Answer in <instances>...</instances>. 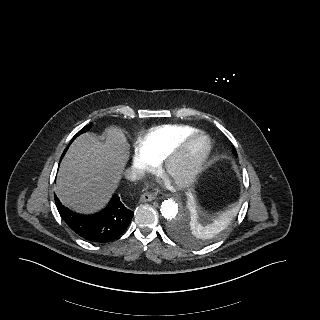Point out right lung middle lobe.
I'll return each mask as SVG.
<instances>
[{
	"mask_svg": "<svg viewBox=\"0 0 320 320\" xmlns=\"http://www.w3.org/2000/svg\"><path fill=\"white\" fill-rule=\"evenodd\" d=\"M90 127H91V124H89V125L85 126L84 128H82V129L73 137V139L71 140V142H72L78 135L86 132ZM71 142H70V143H71ZM68 146H69V145H68ZM67 148H68V147H67ZM67 148H66V150H67ZM66 150H65V151H66Z\"/></svg>",
	"mask_w": 320,
	"mask_h": 320,
	"instance_id": "1",
	"label": "right lung middle lobe"
}]
</instances>
